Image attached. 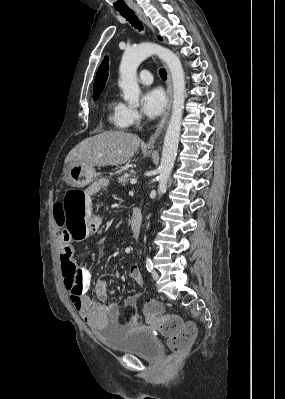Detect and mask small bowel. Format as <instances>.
<instances>
[{
    "label": "small bowel",
    "mask_w": 285,
    "mask_h": 399,
    "mask_svg": "<svg viewBox=\"0 0 285 399\" xmlns=\"http://www.w3.org/2000/svg\"><path fill=\"white\" fill-rule=\"evenodd\" d=\"M104 186V183H95L83 196L86 201L87 213L91 222L92 232H97L101 228L103 220L100 213H92V197L99 193L104 188ZM54 213L58 217L62 218L63 211L61 206H56L54 209ZM60 229L61 232L59 237V246L60 256L62 257L64 254H67V249H69L68 241L70 239V234L67 232L62 224H60ZM69 253L71 254L72 251H70ZM129 275L138 287H142L144 285V277L137 266L131 267ZM77 277L81 278L83 282V291L79 304L77 302H74V306L79 314L83 317V319L90 326L102 327L108 324H119L121 319L119 306L116 302L110 300V290L107 283L102 280L96 283L95 294L98 298V302H93L87 293V286L90 283L91 279L90 271L84 267H81L80 269H78ZM140 297V294L132 296V298L125 300V305L133 306ZM157 323L158 322L156 320H148L149 325H156ZM139 326H142V324L139 322V315L134 314L131 316L128 322L120 325V328L122 330H125L130 327Z\"/></svg>",
    "instance_id": "1"
}]
</instances>
